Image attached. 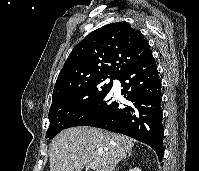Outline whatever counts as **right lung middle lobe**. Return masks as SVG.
<instances>
[{"mask_svg":"<svg viewBox=\"0 0 199 171\" xmlns=\"http://www.w3.org/2000/svg\"><path fill=\"white\" fill-rule=\"evenodd\" d=\"M114 79L116 77H102L85 82L52 102L48 116L50 126L46 132V138H54L78 114L110 90Z\"/></svg>","mask_w":199,"mask_h":171,"instance_id":"right-lung-middle-lobe-1","label":"right lung middle lobe"}]
</instances>
